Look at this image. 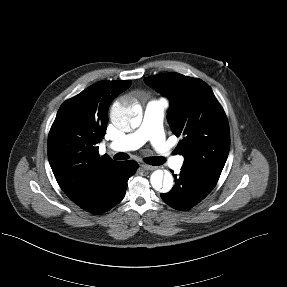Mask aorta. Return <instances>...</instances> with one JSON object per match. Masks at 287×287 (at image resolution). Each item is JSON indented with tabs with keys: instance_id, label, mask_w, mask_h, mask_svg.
Listing matches in <instances>:
<instances>
[{
	"instance_id": "762f6f07",
	"label": "aorta",
	"mask_w": 287,
	"mask_h": 287,
	"mask_svg": "<svg viewBox=\"0 0 287 287\" xmlns=\"http://www.w3.org/2000/svg\"><path fill=\"white\" fill-rule=\"evenodd\" d=\"M110 117L112 123L121 130L137 128L141 124V108L130 100H120L112 105ZM150 183L156 191L169 192L173 187V177L163 170H156L151 174Z\"/></svg>"
}]
</instances>
